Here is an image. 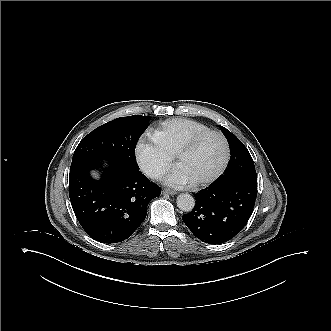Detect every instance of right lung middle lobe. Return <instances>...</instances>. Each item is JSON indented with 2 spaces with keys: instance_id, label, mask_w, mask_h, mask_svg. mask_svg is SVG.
I'll list each match as a JSON object with an SVG mask.
<instances>
[{
  "instance_id": "obj_1",
  "label": "right lung middle lobe",
  "mask_w": 331,
  "mask_h": 331,
  "mask_svg": "<svg viewBox=\"0 0 331 331\" xmlns=\"http://www.w3.org/2000/svg\"><path fill=\"white\" fill-rule=\"evenodd\" d=\"M149 117L133 115L110 121L85 136L77 146L71 168L106 160L131 172H138L135 147L148 127Z\"/></svg>"
}]
</instances>
